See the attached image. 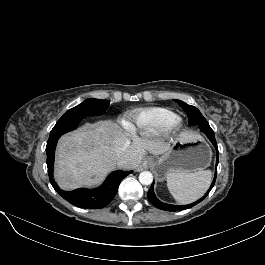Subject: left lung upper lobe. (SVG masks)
I'll return each instance as SVG.
<instances>
[{"label": "left lung upper lobe", "instance_id": "1", "mask_svg": "<svg viewBox=\"0 0 265 265\" xmlns=\"http://www.w3.org/2000/svg\"><path fill=\"white\" fill-rule=\"evenodd\" d=\"M174 101L177 102L187 113L189 117V124L191 126L199 125L202 123H207V120L203 117V115L200 113V111L196 107L188 105L185 102L180 101V100L175 99Z\"/></svg>", "mask_w": 265, "mask_h": 265}]
</instances>
